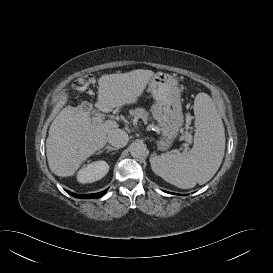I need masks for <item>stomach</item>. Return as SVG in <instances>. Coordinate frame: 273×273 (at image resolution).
Returning a JSON list of instances; mask_svg holds the SVG:
<instances>
[{"label":"stomach","instance_id":"1","mask_svg":"<svg viewBox=\"0 0 273 273\" xmlns=\"http://www.w3.org/2000/svg\"><path fill=\"white\" fill-rule=\"evenodd\" d=\"M148 85V90L155 99L152 115L162 131L158 148L166 150L172 145L183 125L181 91L175 78L163 72L154 74Z\"/></svg>","mask_w":273,"mask_h":273}]
</instances>
